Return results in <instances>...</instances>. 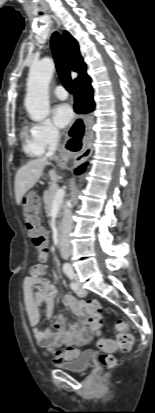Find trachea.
I'll use <instances>...</instances> for the list:
<instances>
[{
    "label": "trachea",
    "mask_w": 155,
    "mask_h": 413,
    "mask_svg": "<svg viewBox=\"0 0 155 413\" xmlns=\"http://www.w3.org/2000/svg\"><path fill=\"white\" fill-rule=\"evenodd\" d=\"M51 49L59 78L64 87L69 92H72L70 69L67 63V57L63 48L62 39L58 32H54L51 37Z\"/></svg>",
    "instance_id": "trachea-1"
}]
</instances>
